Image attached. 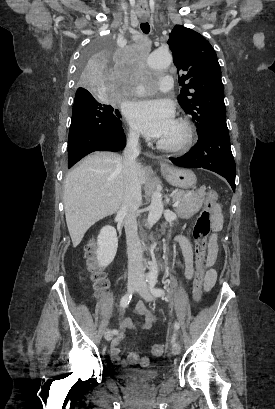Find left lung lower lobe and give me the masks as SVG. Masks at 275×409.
Returning a JSON list of instances; mask_svg holds the SVG:
<instances>
[{
    "mask_svg": "<svg viewBox=\"0 0 275 409\" xmlns=\"http://www.w3.org/2000/svg\"><path fill=\"white\" fill-rule=\"evenodd\" d=\"M170 160L178 166L214 171L225 177L235 191L236 166L230 148L228 128L215 127L206 130L188 153Z\"/></svg>",
    "mask_w": 275,
    "mask_h": 409,
    "instance_id": "1",
    "label": "left lung lower lobe"
}]
</instances>
